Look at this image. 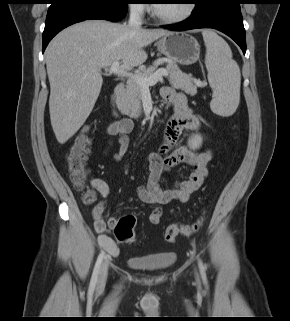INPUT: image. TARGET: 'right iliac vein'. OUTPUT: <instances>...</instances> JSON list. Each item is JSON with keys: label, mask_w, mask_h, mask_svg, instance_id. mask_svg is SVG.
I'll list each match as a JSON object with an SVG mask.
<instances>
[{"label": "right iliac vein", "mask_w": 290, "mask_h": 321, "mask_svg": "<svg viewBox=\"0 0 290 321\" xmlns=\"http://www.w3.org/2000/svg\"><path fill=\"white\" fill-rule=\"evenodd\" d=\"M107 275H108V260L105 259L99 269L98 281H97L98 287H101L105 284Z\"/></svg>", "instance_id": "obj_1"}]
</instances>
